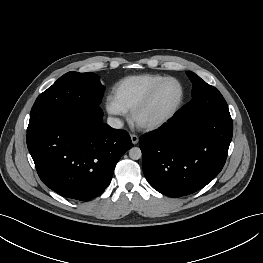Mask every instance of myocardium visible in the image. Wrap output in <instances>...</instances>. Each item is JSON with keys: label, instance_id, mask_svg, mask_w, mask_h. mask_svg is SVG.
Listing matches in <instances>:
<instances>
[{"label": "myocardium", "instance_id": "myocardium-1", "mask_svg": "<svg viewBox=\"0 0 263 263\" xmlns=\"http://www.w3.org/2000/svg\"><path fill=\"white\" fill-rule=\"evenodd\" d=\"M168 80H174L176 82H178V84L181 86L182 89V96L181 99L179 101V103L177 104V106L167 115L151 120V121H141L139 119L140 115L150 106L155 94L157 93V91L160 89V87ZM186 96H187V90L186 87L184 85V83L177 77L174 76H166L163 77L160 81H158L146 94V96L143 98V100L134 107V109L131 111V121L139 128L142 129L144 131H153L156 130L160 127H162L163 125L167 124L169 121H171L177 114L178 112L181 110V108L183 107L185 100H186Z\"/></svg>", "mask_w": 263, "mask_h": 263}]
</instances>
